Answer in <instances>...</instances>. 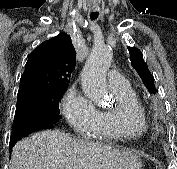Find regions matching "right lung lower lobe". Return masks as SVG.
I'll list each match as a JSON object with an SVG mask.
<instances>
[{
  "label": "right lung lower lobe",
  "instance_id": "right-lung-lower-lobe-1",
  "mask_svg": "<svg viewBox=\"0 0 177 169\" xmlns=\"http://www.w3.org/2000/svg\"><path fill=\"white\" fill-rule=\"evenodd\" d=\"M54 124L55 123H52L48 120L34 117L14 120L13 130L10 137L9 151L12 150V147L17 141L28 134L41 129L53 128Z\"/></svg>",
  "mask_w": 177,
  "mask_h": 169
}]
</instances>
